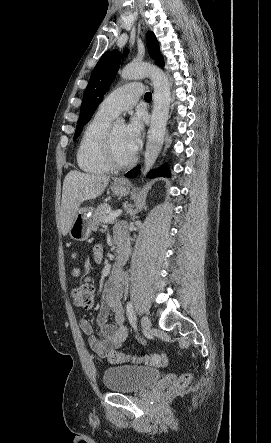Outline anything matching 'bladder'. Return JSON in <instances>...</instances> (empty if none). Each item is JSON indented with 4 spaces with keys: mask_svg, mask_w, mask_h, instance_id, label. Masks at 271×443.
Listing matches in <instances>:
<instances>
[{
    "mask_svg": "<svg viewBox=\"0 0 271 443\" xmlns=\"http://www.w3.org/2000/svg\"><path fill=\"white\" fill-rule=\"evenodd\" d=\"M161 377V372L153 367L134 364L110 366L103 373L105 388L115 393L140 391Z\"/></svg>",
    "mask_w": 271,
    "mask_h": 443,
    "instance_id": "31cf9c89",
    "label": "bladder"
}]
</instances>
